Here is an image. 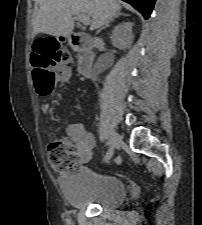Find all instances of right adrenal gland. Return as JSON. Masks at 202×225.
<instances>
[{"instance_id":"1","label":"right adrenal gland","mask_w":202,"mask_h":225,"mask_svg":"<svg viewBox=\"0 0 202 225\" xmlns=\"http://www.w3.org/2000/svg\"><path fill=\"white\" fill-rule=\"evenodd\" d=\"M120 16H128V14H124V13H118L116 16H114L108 23H106L101 29H99L97 31V34H99L103 29L109 27L110 23L113 22L116 18L120 17Z\"/></svg>"}]
</instances>
